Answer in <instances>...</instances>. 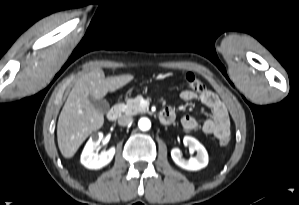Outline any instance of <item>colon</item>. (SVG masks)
<instances>
[{
  "label": "colon",
  "mask_w": 299,
  "mask_h": 205,
  "mask_svg": "<svg viewBox=\"0 0 299 205\" xmlns=\"http://www.w3.org/2000/svg\"><path fill=\"white\" fill-rule=\"evenodd\" d=\"M184 81L187 85V89L194 92V93H202L206 90V87L204 85V83L199 80L194 74L192 73H187L184 76ZM230 141L229 136H224L222 138L219 139V145L220 146H226L228 145Z\"/></svg>",
  "instance_id": "obj_1"
}]
</instances>
